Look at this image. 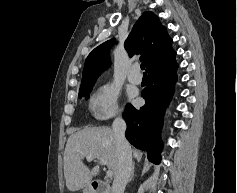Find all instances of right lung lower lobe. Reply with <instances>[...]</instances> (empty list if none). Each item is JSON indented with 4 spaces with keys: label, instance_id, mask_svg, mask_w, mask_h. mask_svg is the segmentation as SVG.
Here are the masks:
<instances>
[{
    "label": "right lung lower lobe",
    "instance_id": "98d812e1",
    "mask_svg": "<svg viewBox=\"0 0 237 193\" xmlns=\"http://www.w3.org/2000/svg\"><path fill=\"white\" fill-rule=\"evenodd\" d=\"M175 55L174 52L147 69L149 83L142 92L145 105L136 109L129 104L123 113L127 123V140L134 147L146 151L148 159L155 164L161 159L162 118L177 80Z\"/></svg>",
    "mask_w": 237,
    "mask_h": 193
}]
</instances>
